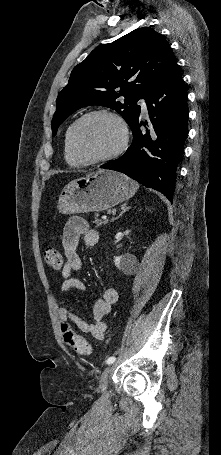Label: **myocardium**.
<instances>
[{
  "label": "myocardium",
  "mask_w": 221,
  "mask_h": 455,
  "mask_svg": "<svg viewBox=\"0 0 221 455\" xmlns=\"http://www.w3.org/2000/svg\"><path fill=\"white\" fill-rule=\"evenodd\" d=\"M97 116H106L113 119L119 126L121 133V141L119 145L110 153L103 155L97 158H87L79 150L77 145V133L80 125L87 119ZM130 139L129 128L125 119L116 111L110 109H96L85 113L79 117L72 125L71 134H70V144L71 149L74 155L83 163V164H98L112 160L122 154L128 146Z\"/></svg>",
  "instance_id": "f54148a6"
}]
</instances>
